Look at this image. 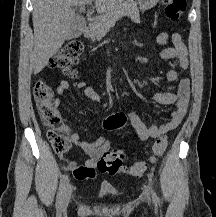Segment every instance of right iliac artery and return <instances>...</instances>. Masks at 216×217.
<instances>
[{"label":"right iliac artery","instance_id":"right-iliac-artery-1","mask_svg":"<svg viewBox=\"0 0 216 217\" xmlns=\"http://www.w3.org/2000/svg\"><path fill=\"white\" fill-rule=\"evenodd\" d=\"M68 183V176L67 175H63L60 185H59V189H58V193H57V198H56V209L57 210H61V204H62V199H63V194L65 191V187Z\"/></svg>","mask_w":216,"mask_h":217}]
</instances>
